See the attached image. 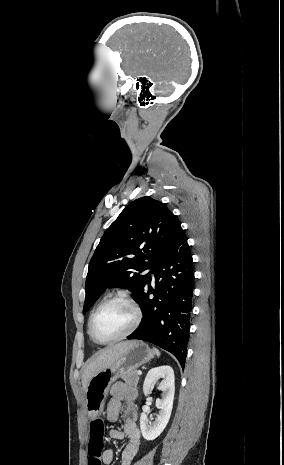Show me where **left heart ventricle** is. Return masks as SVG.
<instances>
[{
    "mask_svg": "<svg viewBox=\"0 0 284 465\" xmlns=\"http://www.w3.org/2000/svg\"><path fill=\"white\" fill-rule=\"evenodd\" d=\"M134 321L132 309L124 303L105 306L95 318L93 333L100 341H109L125 334Z\"/></svg>",
    "mask_w": 284,
    "mask_h": 465,
    "instance_id": "left-heart-ventricle-1",
    "label": "left heart ventricle"
}]
</instances>
